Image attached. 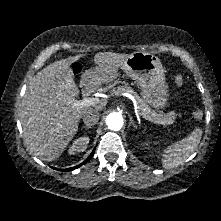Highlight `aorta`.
<instances>
[{"label":"aorta","instance_id":"obj_1","mask_svg":"<svg viewBox=\"0 0 221 221\" xmlns=\"http://www.w3.org/2000/svg\"><path fill=\"white\" fill-rule=\"evenodd\" d=\"M106 124L110 130L118 131L123 126V117L120 113L112 112L107 116Z\"/></svg>","mask_w":221,"mask_h":221}]
</instances>
